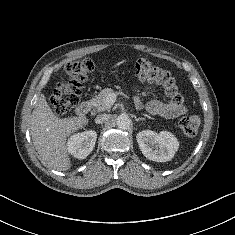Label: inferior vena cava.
<instances>
[{
	"label": "inferior vena cava",
	"mask_w": 235,
	"mask_h": 235,
	"mask_svg": "<svg viewBox=\"0 0 235 235\" xmlns=\"http://www.w3.org/2000/svg\"><path fill=\"white\" fill-rule=\"evenodd\" d=\"M110 118L108 114H100L95 118V123L102 124Z\"/></svg>",
	"instance_id": "602c4592"
}]
</instances>
